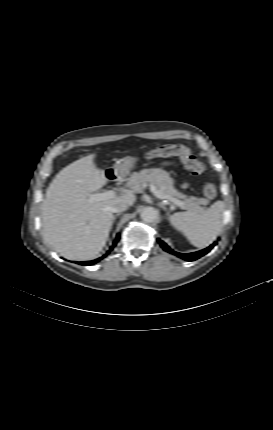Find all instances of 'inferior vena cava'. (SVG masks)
Returning a JSON list of instances; mask_svg holds the SVG:
<instances>
[{
	"instance_id": "1",
	"label": "inferior vena cava",
	"mask_w": 273,
	"mask_h": 430,
	"mask_svg": "<svg viewBox=\"0 0 273 430\" xmlns=\"http://www.w3.org/2000/svg\"><path fill=\"white\" fill-rule=\"evenodd\" d=\"M128 209V204L124 201H117L109 207L110 212L119 213Z\"/></svg>"
}]
</instances>
